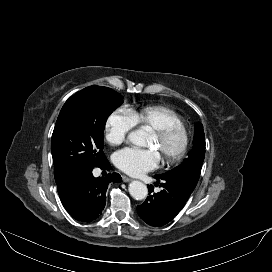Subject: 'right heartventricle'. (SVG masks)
<instances>
[{
	"label": "right heart ventricle",
	"instance_id": "e07e8e85",
	"mask_svg": "<svg viewBox=\"0 0 272 272\" xmlns=\"http://www.w3.org/2000/svg\"><path fill=\"white\" fill-rule=\"evenodd\" d=\"M134 125L139 128L158 130L171 125H183V118L176 112L160 106L148 105L139 109L129 110Z\"/></svg>",
	"mask_w": 272,
	"mask_h": 272
}]
</instances>
